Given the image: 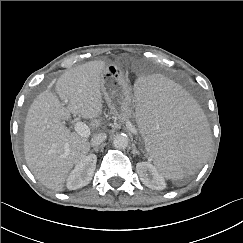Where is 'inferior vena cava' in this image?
<instances>
[{
    "label": "inferior vena cava",
    "mask_w": 243,
    "mask_h": 243,
    "mask_svg": "<svg viewBox=\"0 0 243 243\" xmlns=\"http://www.w3.org/2000/svg\"><path fill=\"white\" fill-rule=\"evenodd\" d=\"M106 138H107V135L105 133L96 134L91 139V145L92 146H98L102 142H104L106 140Z\"/></svg>",
    "instance_id": "inferior-vena-cava-1"
}]
</instances>
